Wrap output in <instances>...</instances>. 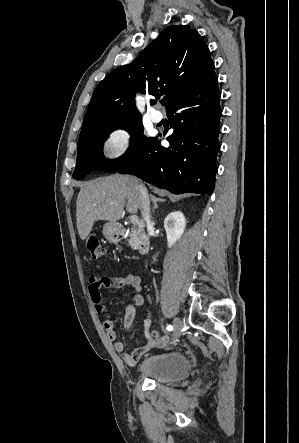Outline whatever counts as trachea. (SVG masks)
Segmentation results:
<instances>
[{
    "instance_id": "obj_1",
    "label": "trachea",
    "mask_w": 299,
    "mask_h": 443,
    "mask_svg": "<svg viewBox=\"0 0 299 443\" xmlns=\"http://www.w3.org/2000/svg\"><path fill=\"white\" fill-rule=\"evenodd\" d=\"M161 104H162V105L164 106V105H165V102H164V101H162V102H161Z\"/></svg>"
}]
</instances>
